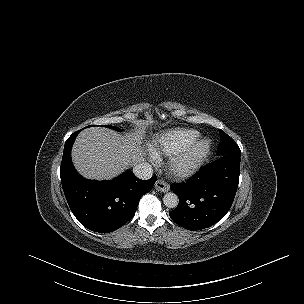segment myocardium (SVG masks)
Instances as JSON below:
<instances>
[{
  "instance_id": "1",
  "label": "myocardium",
  "mask_w": 304,
  "mask_h": 304,
  "mask_svg": "<svg viewBox=\"0 0 304 304\" xmlns=\"http://www.w3.org/2000/svg\"><path fill=\"white\" fill-rule=\"evenodd\" d=\"M211 140L203 138L195 141L186 150L174 156L169 162L170 173L179 179L195 174L208 158Z\"/></svg>"
}]
</instances>
